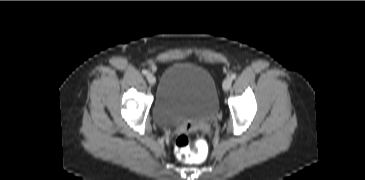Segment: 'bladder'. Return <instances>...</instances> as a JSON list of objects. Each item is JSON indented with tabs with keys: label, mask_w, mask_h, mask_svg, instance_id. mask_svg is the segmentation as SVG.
<instances>
[{
	"label": "bladder",
	"mask_w": 365,
	"mask_h": 180,
	"mask_svg": "<svg viewBox=\"0 0 365 180\" xmlns=\"http://www.w3.org/2000/svg\"><path fill=\"white\" fill-rule=\"evenodd\" d=\"M218 111L217 84L206 68L181 61L164 69L152 108L158 125L211 120Z\"/></svg>",
	"instance_id": "1"
}]
</instances>
